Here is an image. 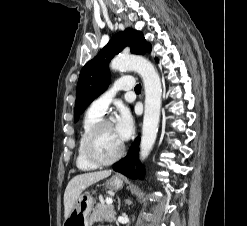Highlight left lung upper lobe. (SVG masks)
<instances>
[{
    "mask_svg": "<svg viewBox=\"0 0 247 226\" xmlns=\"http://www.w3.org/2000/svg\"><path fill=\"white\" fill-rule=\"evenodd\" d=\"M126 46H130L134 54L150 52L152 47L147 43L144 35L133 29H126L114 35L108 44L82 68L77 83L76 102L74 117L75 122L87 106L100 94L110 83L108 65L110 60L120 53Z\"/></svg>",
    "mask_w": 247,
    "mask_h": 226,
    "instance_id": "obj_1",
    "label": "left lung upper lobe"
}]
</instances>
